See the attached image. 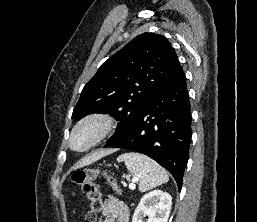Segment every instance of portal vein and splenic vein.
<instances>
[{
  "mask_svg": "<svg viewBox=\"0 0 257 222\" xmlns=\"http://www.w3.org/2000/svg\"><path fill=\"white\" fill-rule=\"evenodd\" d=\"M135 184L134 183H131V184H129V189H135Z\"/></svg>",
  "mask_w": 257,
  "mask_h": 222,
  "instance_id": "portal-vein-and-splenic-vein-1",
  "label": "portal vein and splenic vein"
}]
</instances>
